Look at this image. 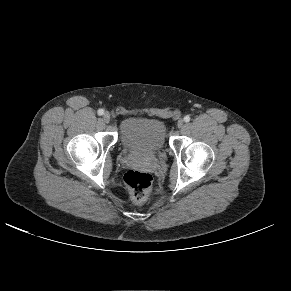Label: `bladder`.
Returning <instances> with one entry per match:
<instances>
[{
  "label": "bladder",
  "mask_w": 291,
  "mask_h": 291,
  "mask_svg": "<svg viewBox=\"0 0 291 291\" xmlns=\"http://www.w3.org/2000/svg\"><path fill=\"white\" fill-rule=\"evenodd\" d=\"M121 145L132 152L156 153L167 141V127L155 117H127L119 129Z\"/></svg>",
  "instance_id": "31cf9c89"
}]
</instances>
